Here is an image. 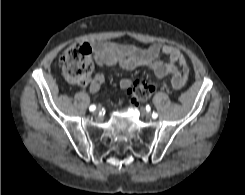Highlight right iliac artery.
I'll use <instances>...</instances> for the list:
<instances>
[{"mask_svg": "<svg viewBox=\"0 0 245 195\" xmlns=\"http://www.w3.org/2000/svg\"><path fill=\"white\" fill-rule=\"evenodd\" d=\"M96 109V106L95 105H91L90 107H89V110L90 111H94Z\"/></svg>", "mask_w": 245, "mask_h": 195, "instance_id": "1", "label": "right iliac artery"}]
</instances>
